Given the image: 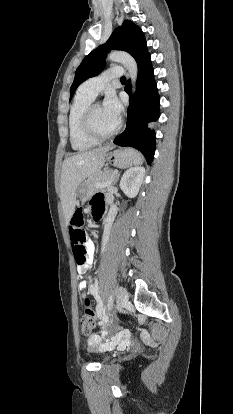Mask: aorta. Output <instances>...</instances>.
Segmentation results:
<instances>
[{
  "mask_svg": "<svg viewBox=\"0 0 233 414\" xmlns=\"http://www.w3.org/2000/svg\"><path fill=\"white\" fill-rule=\"evenodd\" d=\"M108 60L121 63L127 69L132 82V90L135 91L138 66L134 58L123 51H112L108 55Z\"/></svg>",
  "mask_w": 233,
  "mask_h": 414,
  "instance_id": "1",
  "label": "aorta"
}]
</instances>
